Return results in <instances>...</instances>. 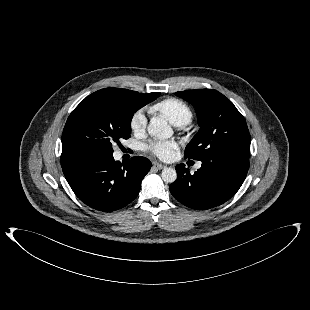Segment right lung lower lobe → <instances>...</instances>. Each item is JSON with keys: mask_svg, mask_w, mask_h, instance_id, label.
<instances>
[{"mask_svg": "<svg viewBox=\"0 0 310 310\" xmlns=\"http://www.w3.org/2000/svg\"><path fill=\"white\" fill-rule=\"evenodd\" d=\"M108 150L62 152L64 176L75 195L86 205L103 212L118 210L138 195L141 181L151 168L144 157L127 163L115 161Z\"/></svg>", "mask_w": 310, "mask_h": 310, "instance_id": "98d812e1", "label": "right lung lower lobe"}]
</instances>
